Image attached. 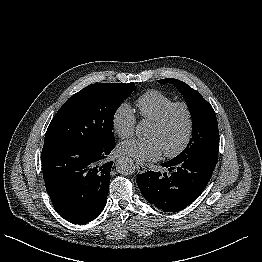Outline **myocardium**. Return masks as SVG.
<instances>
[{
	"instance_id": "myocardium-1",
	"label": "myocardium",
	"mask_w": 262,
	"mask_h": 262,
	"mask_svg": "<svg viewBox=\"0 0 262 262\" xmlns=\"http://www.w3.org/2000/svg\"><path fill=\"white\" fill-rule=\"evenodd\" d=\"M178 108L183 109L187 115V131L183 141L176 149L172 151L164 152V155L167 158H174L179 156L189 146L193 137L194 127H195L193 110L191 106L186 102H174L168 108L165 109V111L161 114L159 118L153 121V124L155 126L159 128H163L168 123L172 113Z\"/></svg>"
}]
</instances>
